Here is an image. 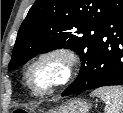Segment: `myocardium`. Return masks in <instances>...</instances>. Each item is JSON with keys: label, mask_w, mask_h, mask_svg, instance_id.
Masks as SVG:
<instances>
[{"label": "myocardium", "mask_w": 123, "mask_h": 113, "mask_svg": "<svg viewBox=\"0 0 123 113\" xmlns=\"http://www.w3.org/2000/svg\"><path fill=\"white\" fill-rule=\"evenodd\" d=\"M45 64H54L56 72L53 79L42 90H37L31 82L32 75ZM79 64L80 57L78 53L70 47L58 46L46 49L37 54L27 64L23 81L32 95L36 97L47 96L72 81L77 75Z\"/></svg>", "instance_id": "myocardium-1"}]
</instances>
